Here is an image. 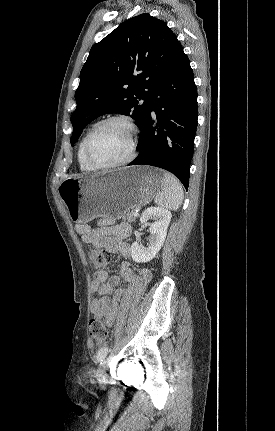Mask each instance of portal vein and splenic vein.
<instances>
[{"label": "portal vein and splenic vein", "instance_id": "18ae733b", "mask_svg": "<svg viewBox=\"0 0 275 431\" xmlns=\"http://www.w3.org/2000/svg\"><path fill=\"white\" fill-rule=\"evenodd\" d=\"M138 214H139V213H138V210H135V211L133 212V215H134V216H138Z\"/></svg>", "mask_w": 275, "mask_h": 431}]
</instances>
